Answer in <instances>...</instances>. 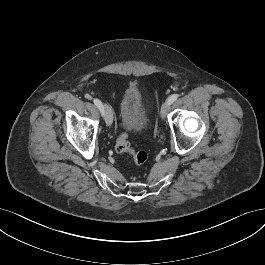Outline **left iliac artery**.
I'll list each match as a JSON object with an SVG mask.
<instances>
[{
	"mask_svg": "<svg viewBox=\"0 0 265 265\" xmlns=\"http://www.w3.org/2000/svg\"><path fill=\"white\" fill-rule=\"evenodd\" d=\"M178 96H179L178 94H173V95H171V96L168 98V101L170 102V104L173 103L175 100H177Z\"/></svg>",
	"mask_w": 265,
	"mask_h": 265,
	"instance_id": "44dca946",
	"label": "left iliac artery"
}]
</instances>
